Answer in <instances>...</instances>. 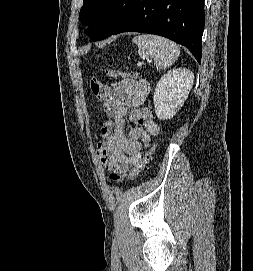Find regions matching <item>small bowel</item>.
I'll return each instance as SVG.
<instances>
[{"label": "small bowel", "instance_id": "obj_1", "mask_svg": "<svg viewBox=\"0 0 253 271\" xmlns=\"http://www.w3.org/2000/svg\"><path fill=\"white\" fill-rule=\"evenodd\" d=\"M149 93L147 80L123 76L113 88L103 87L97 97L108 117L101 128L97 152L111 174L124 175L141 158L149 140L160 132L152 111L143 106ZM126 117L134 124L128 133Z\"/></svg>", "mask_w": 253, "mask_h": 271}]
</instances>
